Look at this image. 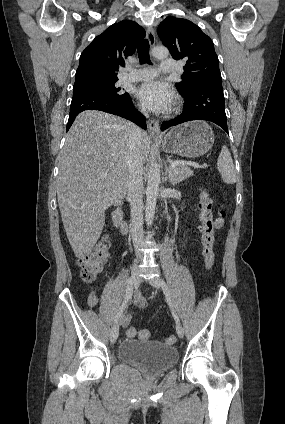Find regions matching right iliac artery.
Masks as SVG:
<instances>
[{
	"mask_svg": "<svg viewBox=\"0 0 285 424\" xmlns=\"http://www.w3.org/2000/svg\"><path fill=\"white\" fill-rule=\"evenodd\" d=\"M132 295H133V286H132V283H131V279H129L128 280V284H127V288H126L125 298H124V301H123L121 307L119 308V310L117 312V315H116L115 320H114L115 323L121 317V315H122V313H123V311H124V309H125L128 301L132 298Z\"/></svg>",
	"mask_w": 285,
	"mask_h": 424,
	"instance_id": "right-iliac-artery-1",
	"label": "right iliac artery"
}]
</instances>
